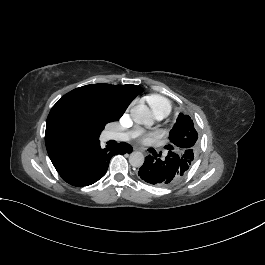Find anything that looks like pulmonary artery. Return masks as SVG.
Here are the masks:
<instances>
[{
    "mask_svg": "<svg viewBox=\"0 0 265 265\" xmlns=\"http://www.w3.org/2000/svg\"><path fill=\"white\" fill-rule=\"evenodd\" d=\"M142 129L141 128H134L132 131H129L128 132V135L127 134H120V133H117L116 131L114 130H111L110 131V135L113 137V138H116L118 140H121V141H124V140H136L138 137H141L142 136Z\"/></svg>",
    "mask_w": 265,
    "mask_h": 265,
    "instance_id": "1",
    "label": "pulmonary artery"
}]
</instances>
